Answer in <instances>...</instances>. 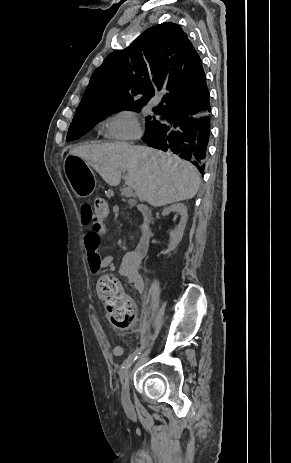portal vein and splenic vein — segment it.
<instances>
[{
	"instance_id": "1",
	"label": "portal vein and splenic vein",
	"mask_w": 291,
	"mask_h": 463,
	"mask_svg": "<svg viewBox=\"0 0 291 463\" xmlns=\"http://www.w3.org/2000/svg\"><path fill=\"white\" fill-rule=\"evenodd\" d=\"M122 193H123L126 197L130 198V197L133 196V189H132L131 186H126V187L123 188Z\"/></svg>"
}]
</instances>
